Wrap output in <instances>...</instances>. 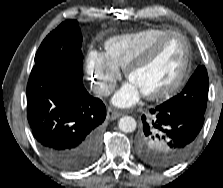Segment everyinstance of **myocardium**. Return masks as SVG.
I'll return each mask as SVG.
<instances>
[{"label": "myocardium", "instance_id": "f54148a6", "mask_svg": "<svg viewBox=\"0 0 223 188\" xmlns=\"http://www.w3.org/2000/svg\"><path fill=\"white\" fill-rule=\"evenodd\" d=\"M171 36H179L184 42L185 53L181 69L177 77L170 84L160 90L144 94V97L148 100L155 101L170 97L174 95L177 91H179L180 88L183 86L190 71L192 58V50L188 38L180 31H167L157 37L155 40H153L145 48H143L124 69L125 77L130 80L132 72L138 67H140L143 63H145L157 51V49Z\"/></svg>", "mask_w": 223, "mask_h": 188}]
</instances>
